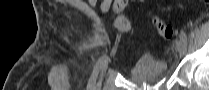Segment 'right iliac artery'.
<instances>
[{"instance_id": "1", "label": "right iliac artery", "mask_w": 209, "mask_h": 90, "mask_svg": "<svg viewBox=\"0 0 209 90\" xmlns=\"http://www.w3.org/2000/svg\"><path fill=\"white\" fill-rule=\"evenodd\" d=\"M106 60H107V56H103L102 58H100L98 63L94 66L93 73H92L91 78L89 79V82H88V85H87V90H94L99 66H101Z\"/></svg>"}]
</instances>
